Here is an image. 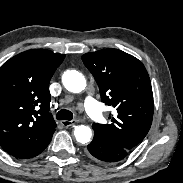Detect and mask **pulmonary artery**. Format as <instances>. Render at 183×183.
<instances>
[{"instance_id": "1", "label": "pulmonary artery", "mask_w": 183, "mask_h": 183, "mask_svg": "<svg viewBox=\"0 0 183 183\" xmlns=\"http://www.w3.org/2000/svg\"><path fill=\"white\" fill-rule=\"evenodd\" d=\"M84 108L92 120L99 122L102 119L101 106L92 96L86 97Z\"/></svg>"}]
</instances>
